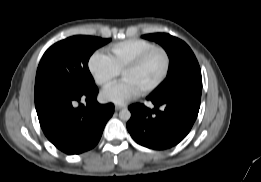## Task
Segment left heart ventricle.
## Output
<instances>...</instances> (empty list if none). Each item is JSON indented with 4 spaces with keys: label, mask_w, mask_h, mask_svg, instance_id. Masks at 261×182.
I'll return each instance as SVG.
<instances>
[{
    "label": "left heart ventricle",
    "mask_w": 261,
    "mask_h": 182,
    "mask_svg": "<svg viewBox=\"0 0 261 182\" xmlns=\"http://www.w3.org/2000/svg\"><path fill=\"white\" fill-rule=\"evenodd\" d=\"M163 69L164 57L160 52H155L138 68L124 72L122 79L132 82L143 91L160 77Z\"/></svg>",
    "instance_id": "1"
}]
</instances>
